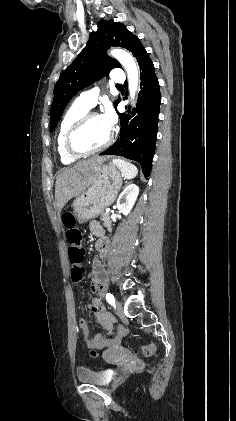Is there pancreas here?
<instances>
[{
  "instance_id": "obj_1",
  "label": "pancreas",
  "mask_w": 236,
  "mask_h": 421,
  "mask_svg": "<svg viewBox=\"0 0 236 421\" xmlns=\"http://www.w3.org/2000/svg\"><path fill=\"white\" fill-rule=\"evenodd\" d=\"M101 221H102L104 227H106V229H108V231H111L112 223L110 221L109 213H105V211H102Z\"/></svg>"
}]
</instances>
